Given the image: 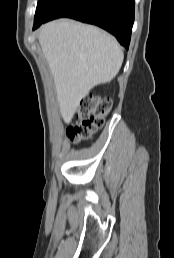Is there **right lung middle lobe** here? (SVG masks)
I'll return each mask as SVG.
<instances>
[{
    "label": "right lung middle lobe",
    "instance_id": "dd1d6c3e",
    "mask_svg": "<svg viewBox=\"0 0 174 258\" xmlns=\"http://www.w3.org/2000/svg\"><path fill=\"white\" fill-rule=\"evenodd\" d=\"M60 1L61 0H38L33 28L42 23Z\"/></svg>",
    "mask_w": 174,
    "mask_h": 258
}]
</instances>
